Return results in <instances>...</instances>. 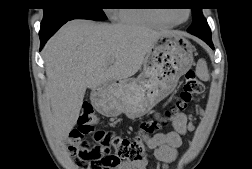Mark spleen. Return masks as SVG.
<instances>
[{
    "instance_id": "1",
    "label": "spleen",
    "mask_w": 252,
    "mask_h": 169,
    "mask_svg": "<svg viewBox=\"0 0 252 169\" xmlns=\"http://www.w3.org/2000/svg\"><path fill=\"white\" fill-rule=\"evenodd\" d=\"M196 73L197 76L203 80V81H208L209 80V74H208V68L206 61L204 59H200L197 63L196 67Z\"/></svg>"
}]
</instances>
